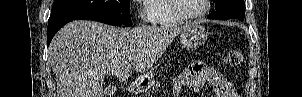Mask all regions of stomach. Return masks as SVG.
Listing matches in <instances>:
<instances>
[{
    "mask_svg": "<svg viewBox=\"0 0 302 97\" xmlns=\"http://www.w3.org/2000/svg\"><path fill=\"white\" fill-rule=\"evenodd\" d=\"M207 39L205 29L198 24H190L180 32V42L184 47L193 48L201 46ZM154 75L152 72L141 77L144 85L153 83Z\"/></svg>",
    "mask_w": 302,
    "mask_h": 97,
    "instance_id": "0dacf381",
    "label": "stomach"
}]
</instances>
